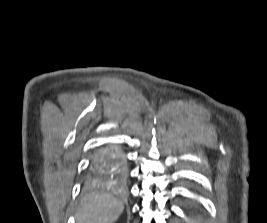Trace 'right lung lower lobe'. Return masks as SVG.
Wrapping results in <instances>:
<instances>
[{
  "label": "right lung lower lobe",
  "mask_w": 267,
  "mask_h": 223,
  "mask_svg": "<svg viewBox=\"0 0 267 223\" xmlns=\"http://www.w3.org/2000/svg\"><path fill=\"white\" fill-rule=\"evenodd\" d=\"M127 180V164L122 151L113 145L100 148L93 156L86 181L88 188H121Z\"/></svg>",
  "instance_id": "right-lung-lower-lobe-1"
}]
</instances>
